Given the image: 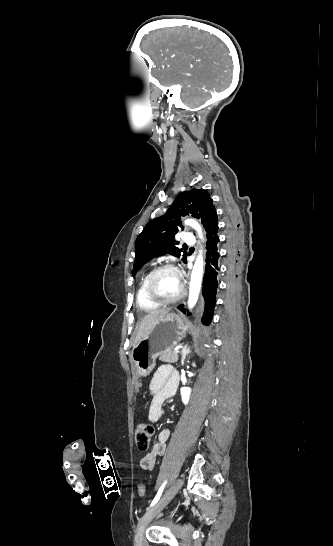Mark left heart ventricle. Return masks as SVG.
<instances>
[{
  "label": "left heart ventricle",
  "mask_w": 333,
  "mask_h": 546,
  "mask_svg": "<svg viewBox=\"0 0 333 546\" xmlns=\"http://www.w3.org/2000/svg\"><path fill=\"white\" fill-rule=\"evenodd\" d=\"M182 288L179 274L173 270L160 272L153 281V289L161 298L171 299L177 296Z\"/></svg>",
  "instance_id": "b2bd125f"
}]
</instances>
